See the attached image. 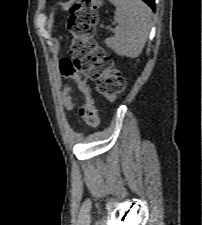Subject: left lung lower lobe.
<instances>
[{"label": "left lung lower lobe", "mask_w": 202, "mask_h": 225, "mask_svg": "<svg viewBox=\"0 0 202 225\" xmlns=\"http://www.w3.org/2000/svg\"><path fill=\"white\" fill-rule=\"evenodd\" d=\"M146 2L153 10L155 9V1L154 0H143Z\"/></svg>", "instance_id": "0a47b994"}]
</instances>
